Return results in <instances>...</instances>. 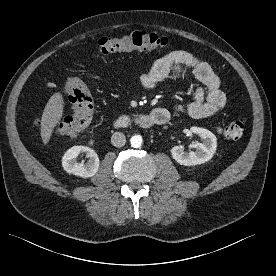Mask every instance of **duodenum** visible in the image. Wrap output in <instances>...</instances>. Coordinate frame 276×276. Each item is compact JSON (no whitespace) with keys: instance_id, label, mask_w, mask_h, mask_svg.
<instances>
[{"instance_id":"410a0bca","label":"duodenum","mask_w":276,"mask_h":276,"mask_svg":"<svg viewBox=\"0 0 276 276\" xmlns=\"http://www.w3.org/2000/svg\"><path fill=\"white\" fill-rule=\"evenodd\" d=\"M168 119V112L162 109H158L152 114H143L135 117H130L128 115L118 116L114 120V126L118 129H126L131 124H135L142 129H149L153 126L165 124Z\"/></svg>"}]
</instances>
